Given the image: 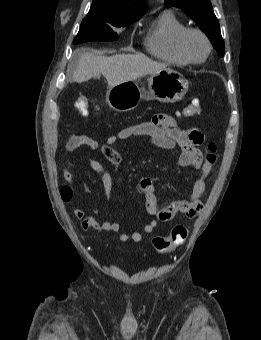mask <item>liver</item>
<instances>
[{"label": "liver", "mask_w": 261, "mask_h": 340, "mask_svg": "<svg viewBox=\"0 0 261 340\" xmlns=\"http://www.w3.org/2000/svg\"><path fill=\"white\" fill-rule=\"evenodd\" d=\"M166 67L165 64L153 61L142 54H118L106 57L84 51L73 73V81L82 83L103 75L107 80L108 87H113L148 74L157 73Z\"/></svg>", "instance_id": "1"}]
</instances>
